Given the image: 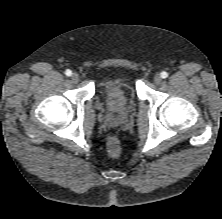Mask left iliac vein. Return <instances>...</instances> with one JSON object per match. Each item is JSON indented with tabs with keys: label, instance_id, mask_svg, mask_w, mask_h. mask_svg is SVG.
Returning a JSON list of instances; mask_svg holds the SVG:
<instances>
[{
	"label": "left iliac vein",
	"instance_id": "1",
	"mask_svg": "<svg viewBox=\"0 0 222 219\" xmlns=\"http://www.w3.org/2000/svg\"><path fill=\"white\" fill-rule=\"evenodd\" d=\"M161 82H162L161 75L160 74H156L155 77H154V83L159 85V84H161Z\"/></svg>",
	"mask_w": 222,
	"mask_h": 219
}]
</instances>
